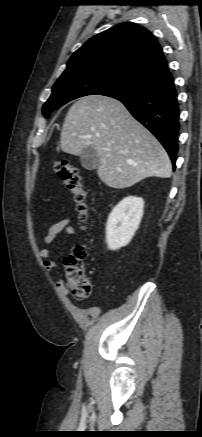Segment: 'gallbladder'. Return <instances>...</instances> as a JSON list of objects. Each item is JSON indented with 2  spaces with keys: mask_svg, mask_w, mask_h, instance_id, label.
<instances>
[{
  "mask_svg": "<svg viewBox=\"0 0 202 437\" xmlns=\"http://www.w3.org/2000/svg\"><path fill=\"white\" fill-rule=\"evenodd\" d=\"M81 165L87 170H94L99 166V156L93 146L86 147L80 155Z\"/></svg>",
  "mask_w": 202,
  "mask_h": 437,
  "instance_id": "gallbladder-1",
  "label": "gallbladder"
}]
</instances>
